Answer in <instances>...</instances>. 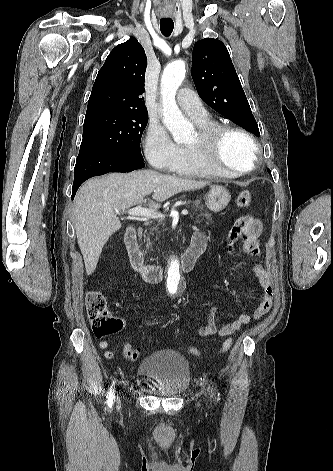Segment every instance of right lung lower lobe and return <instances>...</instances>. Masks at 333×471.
Masks as SVG:
<instances>
[{
  "instance_id": "98d812e1",
  "label": "right lung lower lobe",
  "mask_w": 333,
  "mask_h": 471,
  "mask_svg": "<svg viewBox=\"0 0 333 471\" xmlns=\"http://www.w3.org/2000/svg\"><path fill=\"white\" fill-rule=\"evenodd\" d=\"M143 167V159L125 153L106 149L80 151L74 168L72 199L79 186L93 176L109 172H131Z\"/></svg>"
}]
</instances>
